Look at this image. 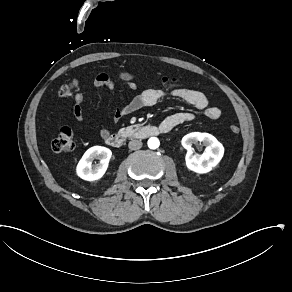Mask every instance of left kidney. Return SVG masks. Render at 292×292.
Masks as SVG:
<instances>
[{
	"instance_id": "obj_1",
	"label": "left kidney",
	"mask_w": 292,
	"mask_h": 292,
	"mask_svg": "<svg viewBox=\"0 0 292 292\" xmlns=\"http://www.w3.org/2000/svg\"><path fill=\"white\" fill-rule=\"evenodd\" d=\"M202 142L206 147L203 154H193V144ZM187 150L185 157L188 169L197 173H207L215 167L224 154L223 145L211 134L192 132L185 135L181 141Z\"/></svg>"
}]
</instances>
